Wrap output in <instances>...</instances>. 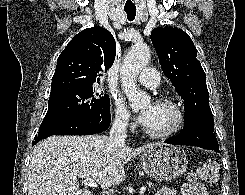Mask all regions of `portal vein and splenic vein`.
I'll list each match as a JSON object with an SVG mask.
<instances>
[{
	"instance_id": "1",
	"label": "portal vein and splenic vein",
	"mask_w": 245,
	"mask_h": 195,
	"mask_svg": "<svg viewBox=\"0 0 245 195\" xmlns=\"http://www.w3.org/2000/svg\"><path fill=\"white\" fill-rule=\"evenodd\" d=\"M82 179H83V180H82L83 184H85V185H87V186H89V187H97V184L94 182V180H92V179H90V178H82ZM145 190H146V187L143 186V187L140 189V194H141V195L144 194Z\"/></svg>"
}]
</instances>
